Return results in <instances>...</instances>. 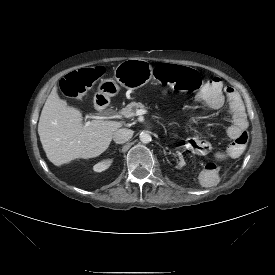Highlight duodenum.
Segmentation results:
<instances>
[{"instance_id": "obj_1", "label": "duodenum", "mask_w": 275, "mask_h": 275, "mask_svg": "<svg viewBox=\"0 0 275 275\" xmlns=\"http://www.w3.org/2000/svg\"><path fill=\"white\" fill-rule=\"evenodd\" d=\"M95 107L97 111L104 112L108 108V100L102 95H96L95 97Z\"/></svg>"}]
</instances>
